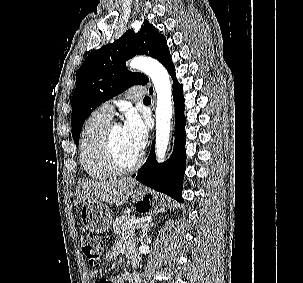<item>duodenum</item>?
Masks as SVG:
<instances>
[{"label": "duodenum", "instance_id": "1", "mask_svg": "<svg viewBox=\"0 0 303 283\" xmlns=\"http://www.w3.org/2000/svg\"><path fill=\"white\" fill-rule=\"evenodd\" d=\"M134 262L137 263V260L134 261ZM132 274H133V279H132L131 283H139V280H138V278H137L138 272H137V271H134Z\"/></svg>", "mask_w": 303, "mask_h": 283}]
</instances>
